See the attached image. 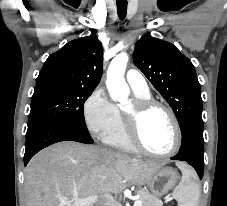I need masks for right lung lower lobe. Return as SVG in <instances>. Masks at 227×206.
<instances>
[{"mask_svg":"<svg viewBox=\"0 0 227 206\" xmlns=\"http://www.w3.org/2000/svg\"><path fill=\"white\" fill-rule=\"evenodd\" d=\"M77 141L92 144L93 140L85 129L67 123L47 121L28 129L24 165L41 149L60 141Z\"/></svg>","mask_w":227,"mask_h":206,"instance_id":"right-lung-lower-lobe-1","label":"right lung lower lobe"}]
</instances>
